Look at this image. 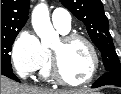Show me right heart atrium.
Here are the masks:
<instances>
[{
  "label": "right heart atrium",
  "mask_w": 121,
  "mask_h": 94,
  "mask_svg": "<svg viewBox=\"0 0 121 94\" xmlns=\"http://www.w3.org/2000/svg\"><path fill=\"white\" fill-rule=\"evenodd\" d=\"M46 60V52L32 31H23L11 49V61L17 74L23 78L38 72Z\"/></svg>",
  "instance_id": "d8ad5b80"
}]
</instances>
